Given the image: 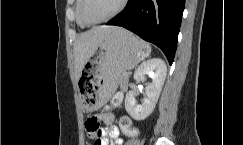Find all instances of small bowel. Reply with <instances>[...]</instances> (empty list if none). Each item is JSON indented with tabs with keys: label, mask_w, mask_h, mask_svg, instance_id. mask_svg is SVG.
<instances>
[{
	"label": "small bowel",
	"mask_w": 243,
	"mask_h": 145,
	"mask_svg": "<svg viewBox=\"0 0 243 145\" xmlns=\"http://www.w3.org/2000/svg\"><path fill=\"white\" fill-rule=\"evenodd\" d=\"M99 121L106 124V127L100 129L99 135H89L93 139V145H122L123 140L119 136V128L113 124L114 116L103 113L97 116Z\"/></svg>",
	"instance_id": "obj_1"
}]
</instances>
